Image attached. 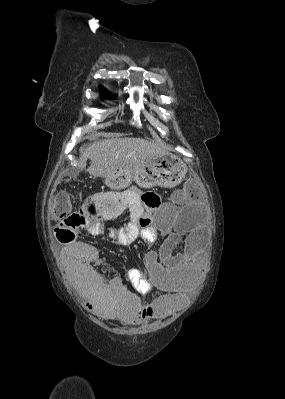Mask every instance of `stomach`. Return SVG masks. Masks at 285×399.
I'll return each instance as SVG.
<instances>
[{"label":"stomach","instance_id":"obj_1","mask_svg":"<svg viewBox=\"0 0 285 399\" xmlns=\"http://www.w3.org/2000/svg\"><path fill=\"white\" fill-rule=\"evenodd\" d=\"M185 163L170 153L157 155L132 169L108 175L105 184L113 191L127 188L133 181L141 188L175 187L185 177Z\"/></svg>","mask_w":285,"mask_h":399}]
</instances>
